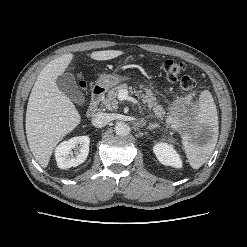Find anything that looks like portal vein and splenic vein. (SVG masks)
Returning <instances> with one entry per match:
<instances>
[{
	"mask_svg": "<svg viewBox=\"0 0 247 247\" xmlns=\"http://www.w3.org/2000/svg\"><path fill=\"white\" fill-rule=\"evenodd\" d=\"M118 99H119L120 101L130 100V99H129V96H128V91H127V90H121V91L118 93Z\"/></svg>",
	"mask_w": 247,
	"mask_h": 247,
	"instance_id": "1",
	"label": "portal vein and splenic vein"
}]
</instances>
